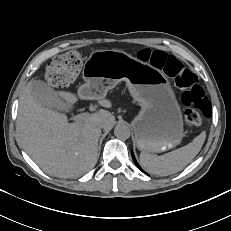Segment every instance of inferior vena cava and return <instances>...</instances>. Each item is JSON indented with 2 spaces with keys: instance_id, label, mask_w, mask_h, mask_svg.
<instances>
[{
  "instance_id": "1",
  "label": "inferior vena cava",
  "mask_w": 231,
  "mask_h": 231,
  "mask_svg": "<svg viewBox=\"0 0 231 231\" xmlns=\"http://www.w3.org/2000/svg\"><path fill=\"white\" fill-rule=\"evenodd\" d=\"M99 129H104V124H99Z\"/></svg>"
}]
</instances>
